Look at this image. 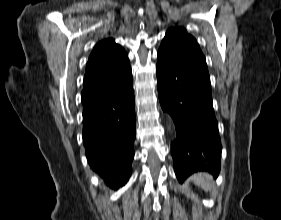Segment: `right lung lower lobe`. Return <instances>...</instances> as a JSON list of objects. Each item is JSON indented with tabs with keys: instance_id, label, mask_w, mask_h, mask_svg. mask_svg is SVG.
Wrapping results in <instances>:
<instances>
[{
	"instance_id": "98d812e1",
	"label": "right lung lower lobe",
	"mask_w": 281,
	"mask_h": 220,
	"mask_svg": "<svg viewBox=\"0 0 281 220\" xmlns=\"http://www.w3.org/2000/svg\"><path fill=\"white\" fill-rule=\"evenodd\" d=\"M82 104L83 143L90 167L107 185H125L136 137L133 79L117 89L84 95Z\"/></svg>"
}]
</instances>
